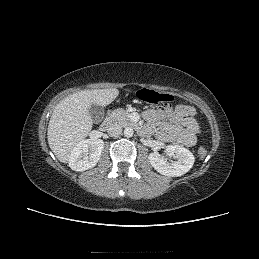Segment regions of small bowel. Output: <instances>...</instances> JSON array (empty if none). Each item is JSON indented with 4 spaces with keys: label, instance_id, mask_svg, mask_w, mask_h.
Instances as JSON below:
<instances>
[{
    "label": "small bowel",
    "instance_id": "1",
    "mask_svg": "<svg viewBox=\"0 0 259 259\" xmlns=\"http://www.w3.org/2000/svg\"><path fill=\"white\" fill-rule=\"evenodd\" d=\"M144 119L156 130V136L164 142H178L185 146L196 144L197 134L194 118L196 111L186 105H179L176 109L169 108L148 109L143 113ZM200 131V126H199Z\"/></svg>",
    "mask_w": 259,
    "mask_h": 259
}]
</instances>
